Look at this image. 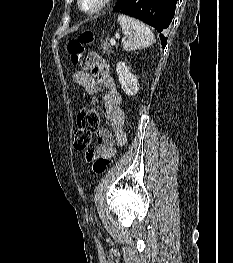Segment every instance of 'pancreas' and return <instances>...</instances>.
Segmentation results:
<instances>
[{"mask_svg": "<svg viewBox=\"0 0 233 263\" xmlns=\"http://www.w3.org/2000/svg\"><path fill=\"white\" fill-rule=\"evenodd\" d=\"M101 49H102L103 53H108V54L112 51V48L110 47V45L107 42V39L101 41Z\"/></svg>", "mask_w": 233, "mask_h": 263, "instance_id": "cf45deb5", "label": "pancreas"}]
</instances>
